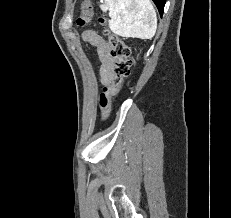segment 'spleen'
Segmentation results:
<instances>
[{"label":"spleen","instance_id":"spleen-1","mask_svg":"<svg viewBox=\"0 0 231 218\" xmlns=\"http://www.w3.org/2000/svg\"><path fill=\"white\" fill-rule=\"evenodd\" d=\"M109 14L111 31L122 37L151 39L157 30V16L150 0H100Z\"/></svg>","mask_w":231,"mask_h":218}]
</instances>
